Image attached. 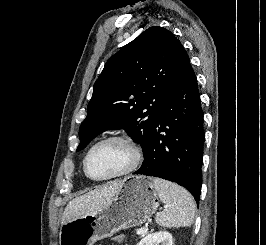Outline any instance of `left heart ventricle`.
<instances>
[{
	"label": "left heart ventricle",
	"instance_id": "obj_1",
	"mask_svg": "<svg viewBox=\"0 0 266 245\" xmlns=\"http://www.w3.org/2000/svg\"><path fill=\"white\" fill-rule=\"evenodd\" d=\"M132 161V150L122 141L110 140L99 144L87 161L88 173L96 178H108L124 172Z\"/></svg>",
	"mask_w": 266,
	"mask_h": 245
}]
</instances>
